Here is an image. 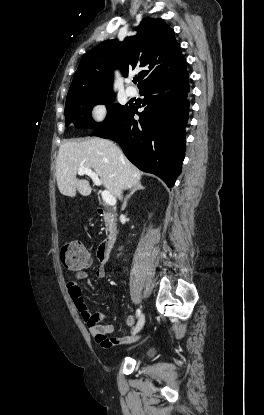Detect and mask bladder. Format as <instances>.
I'll list each match as a JSON object with an SVG mask.
<instances>
[{
    "mask_svg": "<svg viewBox=\"0 0 264 415\" xmlns=\"http://www.w3.org/2000/svg\"><path fill=\"white\" fill-rule=\"evenodd\" d=\"M154 354V348L149 347L144 351V356L150 357Z\"/></svg>",
    "mask_w": 264,
    "mask_h": 415,
    "instance_id": "bladder-1",
    "label": "bladder"
}]
</instances>
